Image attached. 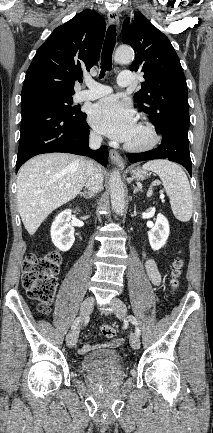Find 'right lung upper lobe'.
Returning <instances> with one entry per match:
<instances>
[{
	"mask_svg": "<svg viewBox=\"0 0 213 433\" xmlns=\"http://www.w3.org/2000/svg\"><path fill=\"white\" fill-rule=\"evenodd\" d=\"M105 20L84 10L57 27L38 48L22 88V96L36 92L73 95L75 80L98 61Z\"/></svg>",
	"mask_w": 213,
	"mask_h": 433,
	"instance_id": "right-lung-upper-lobe-1",
	"label": "right lung upper lobe"
}]
</instances>
